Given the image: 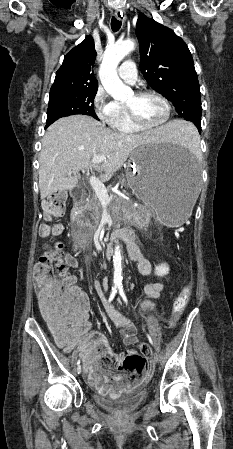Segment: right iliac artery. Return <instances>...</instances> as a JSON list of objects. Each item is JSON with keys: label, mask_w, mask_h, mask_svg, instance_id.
I'll return each mask as SVG.
<instances>
[{"label": "right iliac artery", "mask_w": 233, "mask_h": 449, "mask_svg": "<svg viewBox=\"0 0 233 449\" xmlns=\"http://www.w3.org/2000/svg\"><path fill=\"white\" fill-rule=\"evenodd\" d=\"M116 293H117V287L114 286V287H112V291H111V294L109 296V300H108L109 303L114 299ZM77 365L80 366V360H78Z\"/></svg>", "instance_id": "right-iliac-artery-1"}]
</instances>
